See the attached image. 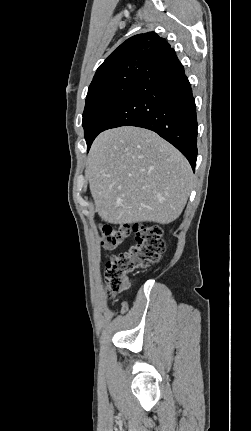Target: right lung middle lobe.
<instances>
[{
	"label": "right lung middle lobe",
	"instance_id": "dd1d6c3e",
	"mask_svg": "<svg viewBox=\"0 0 251 431\" xmlns=\"http://www.w3.org/2000/svg\"><path fill=\"white\" fill-rule=\"evenodd\" d=\"M147 65L146 60L127 64L89 86L82 121L88 150L109 117L136 86Z\"/></svg>",
	"mask_w": 251,
	"mask_h": 431
}]
</instances>
